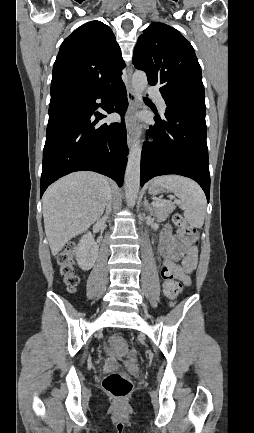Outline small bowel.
Listing matches in <instances>:
<instances>
[{
	"instance_id": "obj_1",
	"label": "small bowel",
	"mask_w": 254,
	"mask_h": 433,
	"mask_svg": "<svg viewBox=\"0 0 254 433\" xmlns=\"http://www.w3.org/2000/svg\"><path fill=\"white\" fill-rule=\"evenodd\" d=\"M159 250L163 257V269H170L175 279L179 280L184 286H189L191 284L190 274L197 264V249L195 247H189L182 265H177L175 261L181 257L183 247L179 239L172 234L170 227L166 226L161 233ZM164 290L165 283L163 282V291ZM113 363L114 359L108 360L109 365Z\"/></svg>"
}]
</instances>
